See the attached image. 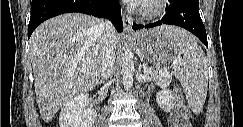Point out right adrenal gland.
<instances>
[{
    "label": "right adrenal gland",
    "instance_id": "2a0ac1e0",
    "mask_svg": "<svg viewBox=\"0 0 243 127\" xmlns=\"http://www.w3.org/2000/svg\"><path fill=\"white\" fill-rule=\"evenodd\" d=\"M104 82V80H100L99 82H98V84H102Z\"/></svg>",
    "mask_w": 243,
    "mask_h": 127
}]
</instances>
